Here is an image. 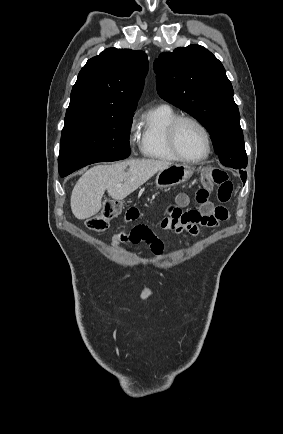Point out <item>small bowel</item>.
Masks as SVG:
<instances>
[{"instance_id": "small-bowel-1", "label": "small bowel", "mask_w": 283, "mask_h": 434, "mask_svg": "<svg viewBox=\"0 0 283 434\" xmlns=\"http://www.w3.org/2000/svg\"><path fill=\"white\" fill-rule=\"evenodd\" d=\"M189 196L180 193L167 210V217L162 221L164 230L183 235L185 238L197 236L200 227L214 228L221 222L226 221L229 213L222 206H213L208 201V192L201 189L196 194L197 209L183 210L189 204ZM141 210L136 207H130L127 210L125 220L135 221L141 216ZM114 245L120 243H140L147 242L152 252L159 256L163 251V242L145 225H137L130 230L123 229L112 239Z\"/></svg>"}]
</instances>
